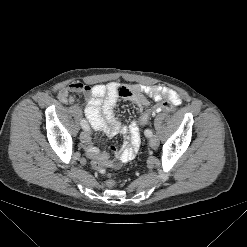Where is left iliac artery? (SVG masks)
I'll use <instances>...</instances> for the list:
<instances>
[{
	"instance_id": "left-iliac-artery-1",
	"label": "left iliac artery",
	"mask_w": 247,
	"mask_h": 247,
	"mask_svg": "<svg viewBox=\"0 0 247 247\" xmlns=\"http://www.w3.org/2000/svg\"><path fill=\"white\" fill-rule=\"evenodd\" d=\"M144 134H145L146 137H151V136H153L152 131L149 130V129L145 130Z\"/></svg>"
}]
</instances>
